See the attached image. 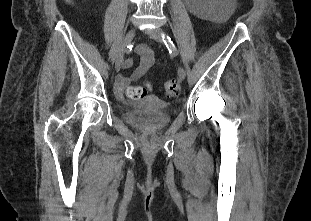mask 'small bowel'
I'll use <instances>...</instances> for the list:
<instances>
[{
	"label": "small bowel",
	"mask_w": 311,
	"mask_h": 221,
	"mask_svg": "<svg viewBox=\"0 0 311 221\" xmlns=\"http://www.w3.org/2000/svg\"><path fill=\"white\" fill-rule=\"evenodd\" d=\"M137 54L140 57V63L138 67L133 71L130 80H124L120 82L122 88L126 87L129 81H139L149 72L152 66L156 63V58L153 51L147 45H141L136 49ZM148 88L151 87L149 83H146Z\"/></svg>",
	"instance_id": "1"
}]
</instances>
